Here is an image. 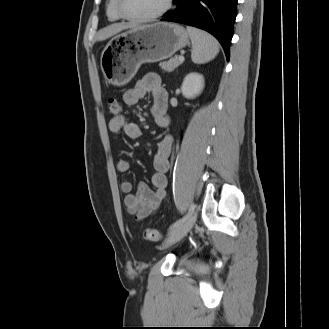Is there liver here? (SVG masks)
<instances>
[{
    "label": "liver",
    "mask_w": 329,
    "mask_h": 329,
    "mask_svg": "<svg viewBox=\"0 0 329 329\" xmlns=\"http://www.w3.org/2000/svg\"><path fill=\"white\" fill-rule=\"evenodd\" d=\"M128 28H134V26L128 25V24H124V23H120V24H113L110 25L106 28L101 29L98 34H97V40L98 41H102V40H106L109 37L125 30Z\"/></svg>",
    "instance_id": "liver-1"
}]
</instances>
